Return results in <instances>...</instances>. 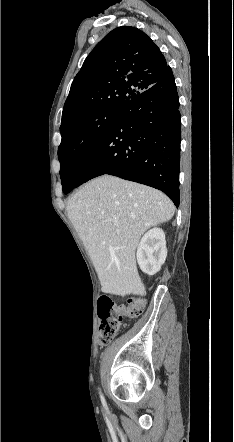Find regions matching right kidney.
<instances>
[{"label":"right kidney","instance_id":"ca27d5eb","mask_svg":"<svg viewBox=\"0 0 234 442\" xmlns=\"http://www.w3.org/2000/svg\"><path fill=\"white\" fill-rule=\"evenodd\" d=\"M167 256L165 233L161 228H152L142 237L137 248L140 269L154 275L164 264Z\"/></svg>","mask_w":234,"mask_h":442}]
</instances>
